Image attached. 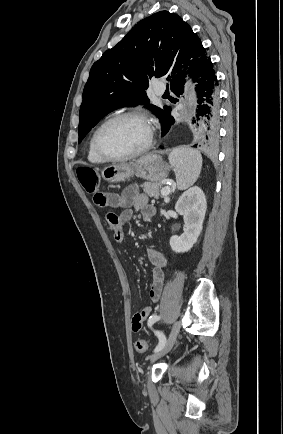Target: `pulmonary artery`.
Masks as SVG:
<instances>
[{"instance_id": "obj_1", "label": "pulmonary artery", "mask_w": 283, "mask_h": 434, "mask_svg": "<svg viewBox=\"0 0 283 434\" xmlns=\"http://www.w3.org/2000/svg\"><path fill=\"white\" fill-rule=\"evenodd\" d=\"M153 89L155 94L162 95L164 94L166 87L163 83H156Z\"/></svg>"}]
</instances>
